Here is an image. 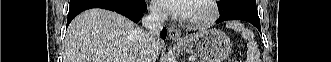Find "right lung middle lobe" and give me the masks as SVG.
I'll return each instance as SVG.
<instances>
[{"label":"right lung middle lobe","mask_w":331,"mask_h":62,"mask_svg":"<svg viewBox=\"0 0 331 62\" xmlns=\"http://www.w3.org/2000/svg\"><path fill=\"white\" fill-rule=\"evenodd\" d=\"M75 0H70V2H73ZM120 2H123V3H127V4H133V3H137L138 0H119Z\"/></svg>","instance_id":"right-lung-middle-lobe-1"}]
</instances>
